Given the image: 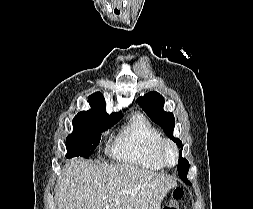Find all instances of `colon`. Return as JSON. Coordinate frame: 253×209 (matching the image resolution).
Returning a JSON list of instances; mask_svg holds the SVG:
<instances>
[{
  "label": "colon",
  "instance_id": "colon-1",
  "mask_svg": "<svg viewBox=\"0 0 253 209\" xmlns=\"http://www.w3.org/2000/svg\"><path fill=\"white\" fill-rule=\"evenodd\" d=\"M183 196V188L176 187L172 192L173 201L166 205L163 209H180L176 201L181 199Z\"/></svg>",
  "mask_w": 253,
  "mask_h": 209
}]
</instances>
